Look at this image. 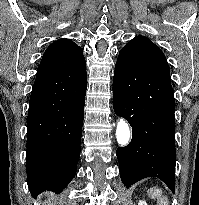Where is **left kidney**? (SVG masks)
Listing matches in <instances>:
<instances>
[{
	"instance_id": "5707ae66",
	"label": "left kidney",
	"mask_w": 199,
	"mask_h": 205,
	"mask_svg": "<svg viewBox=\"0 0 199 205\" xmlns=\"http://www.w3.org/2000/svg\"><path fill=\"white\" fill-rule=\"evenodd\" d=\"M138 205H147V203H146L144 200H140V201L138 202Z\"/></svg>"
}]
</instances>
